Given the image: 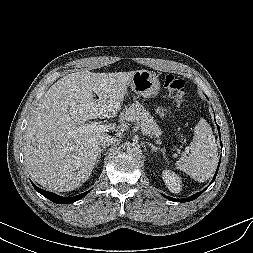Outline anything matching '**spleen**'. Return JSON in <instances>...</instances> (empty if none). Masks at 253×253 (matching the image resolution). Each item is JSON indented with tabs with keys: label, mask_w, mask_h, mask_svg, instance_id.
<instances>
[{
	"label": "spleen",
	"mask_w": 253,
	"mask_h": 253,
	"mask_svg": "<svg viewBox=\"0 0 253 253\" xmlns=\"http://www.w3.org/2000/svg\"><path fill=\"white\" fill-rule=\"evenodd\" d=\"M217 144L210 125L205 119H200L194 128V137L190 153L183 155L175 166L198 182L208 180L218 162Z\"/></svg>",
	"instance_id": "1"
}]
</instances>
